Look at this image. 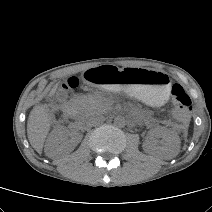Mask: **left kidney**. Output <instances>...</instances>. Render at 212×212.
<instances>
[{
    "label": "left kidney",
    "mask_w": 212,
    "mask_h": 212,
    "mask_svg": "<svg viewBox=\"0 0 212 212\" xmlns=\"http://www.w3.org/2000/svg\"><path fill=\"white\" fill-rule=\"evenodd\" d=\"M152 136L162 138L160 146L147 140L143 143V149L146 153H157L165 159L175 157L180 150V139L177 133L164 127L155 128Z\"/></svg>",
    "instance_id": "left-kidney-1"
}]
</instances>
